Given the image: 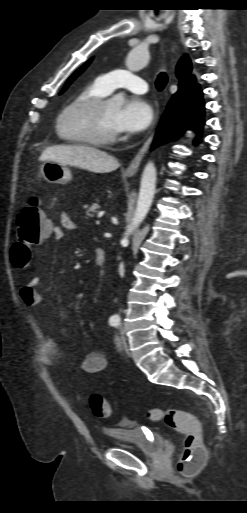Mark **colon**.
<instances>
[{"instance_id":"colon-1","label":"colon","mask_w":247,"mask_h":513,"mask_svg":"<svg viewBox=\"0 0 247 513\" xmlns=\"http://www.w3.org/2000/svg\"><path fill=\"white\" fill-rule=\"evenodd\" d=\"M51 227L52 223L42 210L39 199L31 197L17 218L16 237L10 253L15 268H23L29 263L33 248L46 238ZM89 406L96 417L107 418L111 414L109 403L99 394L90 396ZM147 417L154 422H163L185 436L177 470L186 476L196 474L206 458L198 419L187 411L161 408L148 409Z\"/></svg>"}]
</instances>
